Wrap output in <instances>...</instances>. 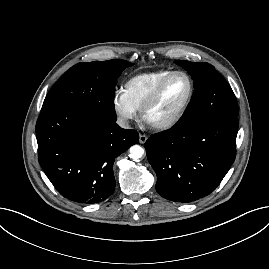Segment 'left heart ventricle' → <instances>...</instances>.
I'll use <instances>...</instances> for the list:
<instances>
[{"instance_id":"obj_1","label":"left heart ventricle","mask_w":269,"mask_h":269,"mask_svg":"<svg viewBox=\"0 0 269 269\" xmlns=\"http://www.w3.org/2000/svg\"><path fill=\"white\" fill-rule=\"evenodd\" d=\"M189 91L186 77L176 75L165 85L158 101L147 113V120L157 122L173 115L184 103Z\"/></svg>"}]
</instances>
